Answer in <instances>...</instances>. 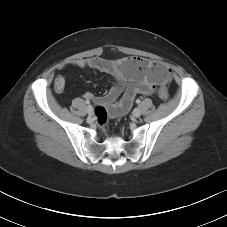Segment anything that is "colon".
Masks as SVG:
<instances>
[{
    "label": "colon",
    "mask_w": 227,
    "mask_h": 227,
    "mask_svg": "<svg viewBox=\"0 0 227 227\" xmlns=\"http://www.w3.org/2000/svg\"><path fill=\"white\" fill-rule=\"evenodd\" d=\"M153 67L164 75H170L168 68L160 62H153ZM158 95L162 100H167L169 98V92L164 86L160 87ZM107 117L108 112L103 105H99L95 108V119L104 130L107 128Z\"/></svg>",
    "instance_id": "5ec220e1"
}]
</instances>
